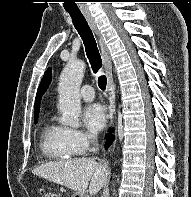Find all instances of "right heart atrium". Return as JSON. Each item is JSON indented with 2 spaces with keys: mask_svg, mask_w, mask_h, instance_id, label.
Returning a JSON list of instances; mask_svg holds the SVG:
<instances>
[{
  "mask_svg": "<svg viewBox=\"0 0 191 197\" xmlns=\"http://www.w3.org/2000/svg\"><path fill=\"white\" fill-rule=\"evenodd\" d=\"M64 140L72 154H83L95 142V137L78 129L64 128Z\"/></svg>",
  "mask_w": 191,
  "mask_h": 197,
  "instance_id": "right-heart-atrium-1",
  "label": "right heart atrium"
}]
</instances>
